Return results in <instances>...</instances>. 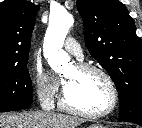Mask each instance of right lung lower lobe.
<instances>
[{"mask_svg": "<svg viewBox=\"0 0 142 128\" xmlns=\"http://www.w3.org/2000/svg\"><path fill=\"white\" fill-rule=\"evenodd\" d=\"M20 109H22V108H19V107H1L0 112L17 111V110H20Z\"/></svg>", "mask_w": 142, "mask_h": 128, "instance_id": "98d812e1", "label": "right lung lower lobe"}]
</instances>
